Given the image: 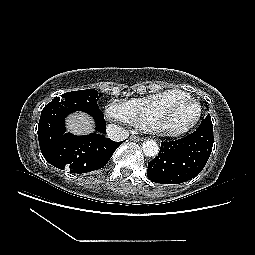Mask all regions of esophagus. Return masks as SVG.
<instances>
[{
  "label": "esophagus",
  "mask_w": 255,
  "mask_h": 255,
  "mask_svg": "<svg viewBox=\"0 0 255 255\" xmlns=\"http://www.w3.org/2000/svg\"><path fill=\"white\" fill-rule=\"evenodd\" d=\"M130 140L135 141V142H140V141H143V138L139 137V136L132 135V136H130Z\"/></svg>",
  "instance_id": "esophagus-1"
}]
</instances>
